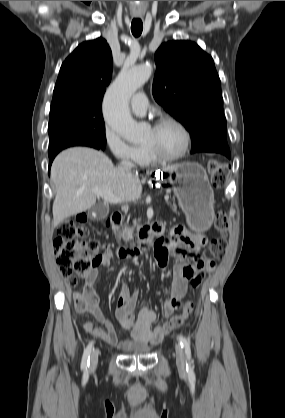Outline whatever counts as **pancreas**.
<instances>
[{"instance_id": "cf45deb5", "label": "pancreas", "mask_w": 285, "mask_h": 418, "mask_svg": "<svg viewBox=\"0 0 285 418\" xmlns=\"http://www.w3.org/2000/svg\"><path fill=\"white\" fill-rule=\"evenodd\" d=\"M172 208L174 211L177 210V207L175 204L172 205ZM141 225L139 223H137L136 221L133 222V226H129L128 222L125 223V225H123L121 227V230L118 234V238H122L126 243H130L131 245H134V243L132 242L135 234L134 231L135 229L138 231L140 229Z\"/></svg>"}]
</instances>
